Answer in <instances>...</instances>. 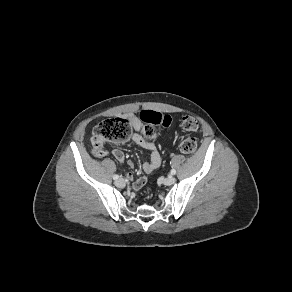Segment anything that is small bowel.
<instances>
[{
  "mask_svg": "<svg viewBox=\"0 0 292 292\" xmlns=\"http://www.w3.org/2000/svg\"><path fill=\"white\" fill-rule=\"evenodd\" d=\"M124 118L128 119L136 131V133L131 135V140L137 144L138 146L146 149L150 152L149 159L143 163L142 170L144 173H150L154 169L158 168L161 164V154L154 144V142L146 137L143 133V123L138 116L133 113L127 114ZM112 156L121 163L125 162V154L120 149H114L112 151ZM128 166L132 167L133 162L128 161ZM126 178L132 181V188L136 191L140 190L146 183V176H140L138 178H134L133 173L127 172Z\"/></svg>",
  "mask_w": 292,
  "mask_h": 292,
  "instance_id": "1",
  "label": "small bowel"
}]
</instances>
